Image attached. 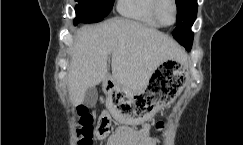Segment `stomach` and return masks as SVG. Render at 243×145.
I'll return each mask as SVG.
<instances>
[{
	"label": "stomach",
	"instance_id": "obj_1",
	"mask_svg": "<svg viewBox=\"0 0 243 145\" xmlns=\"http://www.w3.org/2000/svg\"><path fill=\"white\" fill-rule=\"evenodd\" d=\"M185 78H188V72L181 62L166 60L155 69L143 91H129L108 79L104 80L103 88L112 116L121 123L138 124L155 116L168 102H174Z\"/></svg>",
	"mask_w": 243,
	"mask_h": 145
}]
</instances>
